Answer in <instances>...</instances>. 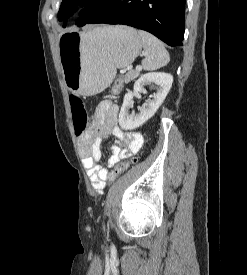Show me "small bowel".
<instances>
[{
  "label": "small bowel",
  "mask_w": 247,
  "mask_h": 275,
  "mask_svg": "<svg viewBox=\"0 0 247 275\" xmlns=\"http://www.w3.org/2000/svg\"><path fill=\"white\" fill-rule=\"evenodd\" d=\"M119 107L104 101L96 107L89 130L78 139V147L83 158V165L91 180L92 187L103 193L108 169L120 160L136 154L143 145V136L136 131H124L118 126ZM114 137L111 145L112 154L107 167L100 165L102 156L101 144L104 139Z\"/></svg>",
  "instance_id": "1"
}]
</instances>
